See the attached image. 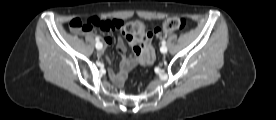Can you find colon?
I'll use <instances>...</instances> for the list:
<instances>
[{
  "label": "colon",
  "mask_w": 276,
  "mask_h": 120,
  "mask_svg": "<svg viewBox=\"0 0 276 120\" xmlns=\"http://www.w3.org/2000/svg\"><path fill=\"white\" fill-rule=\"evenodd\" d=\"M187 24L188 21L183 17H169L164 20L162 27L156 29L155 33L158 38H165L171 33L185 29ZM69 28L75 34L85 32L91 28L106 31L110 28V22L99 17H91L88 19L77 18L69 23ZM120 31L128 39H144L149 35L146 32L145 24L140 20L122 23L120 25Z\"/></svg>",
  "instance_id": "colon-1"
}]
</instances>
